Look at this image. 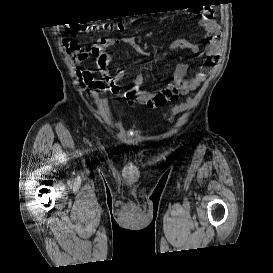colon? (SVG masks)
<instances>
[{
	"mask_svg": "<svg viewBox=\"0 0 273 273\" xmlns=\"http://www.w3.org/2000/svg\"><path fill=\"white\" fill-rule=\"evenodd\" d=\"M116 26L118 29H122L123 25L118 23L116 25H110V27ZM95 29V27L91 26H79L73 25L71 26V33L78 34L83 30ZM62 46L66 52L68 60L70 64L75 69L76 76L78 77L79 81V88L81 91L85 93H89L92 90H100L103 88V83L97 79H95L91 73V71L83 68V63L87 59V53L83 50L80 45L74 41L69 39H64L62 42ZM187 107V103H181L176 105L170 111L171 115H175L181 111H183Z\"/></svg>",
	"mask_w": 273,
	"mask_h": 273,
	"instance_id": "1",
	"label": "colon"
}]
</instances>
